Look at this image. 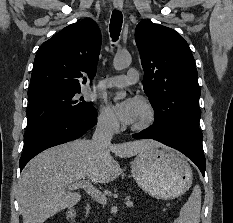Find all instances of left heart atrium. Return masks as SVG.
Returning a JSON list of instances; mask_svg holds the SVG:
<instances>
[{"instance_id":"obj_1","label":"left heart atrium","mask_w":233,"mask_h":223,"mask_svg":"<svg viewBox=\"0 0 233 223\" xmlns=\"http://www.w3.org/2000/svg\"><path fill=\"white\" fill-rule=\"evenodd\" d=\"M142 110V102L138 97H128L117 103L113 111L117 118L126 125L134 124Z\"/></svg>"}]
</instances>
